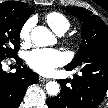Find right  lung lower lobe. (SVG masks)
Masks as SVG:
<instances>
[{"label":"right lung lower lobe","instance_id":"obj_1","mask_svg":"<svg viewBox=\"0 0 108 108\" xmlns=\"http://www.w3.org/2000/svg\"><path fill=\"white\" fill-rule=\"evenodd\" d=\"M15 59L22 63L16 56ZM0 59V108H18L31 84L39 82L38 75L26 65L18 66L15 73L3 72Z\"/></svg>","mask_w":108,"mask_h":108}]
</instances>
